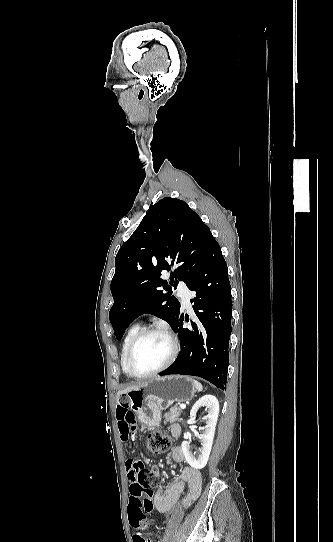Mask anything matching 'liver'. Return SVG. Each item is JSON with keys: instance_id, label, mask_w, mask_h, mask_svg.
<instances>
[{"instance_id": "6515ba94", "label": "liver", "mask_w": 333, "mask_h": 542, "mask_svg": "<svg viewBox=\"0 0 333 542\" xmlns=\"http://www.w3.org/2000/svg\"><path fill=\"white\" fill-rule=\"evenodd\" d=\"M141 386H143V384H140V386H129V388H125V390H119V392H117V398L118 396H121V394H127V392H132V390H139Z\"/></svg>"}]
</instances>
